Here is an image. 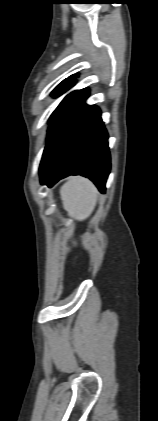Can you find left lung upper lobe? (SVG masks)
<instances>
[{
	"label": "left lung upper lobe",
	"instance_id": "obj_1",
	"mask_svg": "<svg viewBox=\"0 0 158 421\" xmlns=\"http://www.w3.org/2000/svg\"><path fill=\"white\" fill-rule=\"evenodd\" d=\"M77 77V75H71L70 77L64 79L52 92L53 96H59L61 94H63L65 91H67L68 89H70L74 83H75V78ZM79 91V90H78ZM78 91H73L71 92L69 95H67L63 101L59 104V106L56 108V110L53 112V114L50 117V121H52V119L56 116V114L69 102V100L78 92Z\"/></svg>",
	"mask_w": 158,
	"mask_h": 421
}]
</instances>
